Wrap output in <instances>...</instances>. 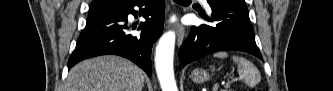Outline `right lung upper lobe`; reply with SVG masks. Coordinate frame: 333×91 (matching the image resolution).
<instances>
[{
    "label": "right lung upper lobe",
    "instance_id": "1",
    "mask_svg": "<svg viewBox=\"0 0 333 91\" xmlns=\"http://www.w3.org/2000/svg\"><path fill=\"white\" fill-rule=\"evenodd\" d=\"M134 1H136V0H94L93 4L101 5L102 8L92 9L91 12H104V11L119 10V9H122V8L130 5ZM112 3H121V5L111 7L110 4H112Z\"/></svg>",
    "mask_w": 333,
    "mask_h": 91
}]
</instances>
